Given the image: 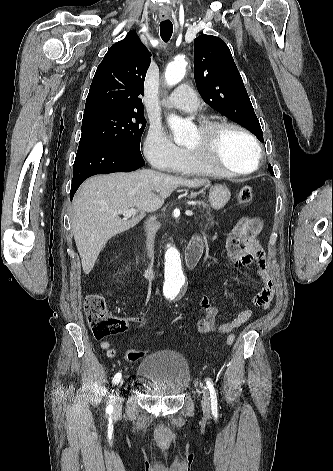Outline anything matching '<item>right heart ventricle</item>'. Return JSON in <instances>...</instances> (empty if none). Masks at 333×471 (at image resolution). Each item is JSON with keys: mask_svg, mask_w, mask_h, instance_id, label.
Segmentation results:
<instances>
[{"mask_svg": "<svg viewBox=\"0 0 333 471\" xmlns=\"http://www.w3.org/2000/svg\"><path fill=\"white\" fill-rule=\"evenodd\" d=\"M175 172L183 175H217L210 169L196 163L186 152L182 163L177 167Z\"/></svg>", "mask_w": 333, "mask_h": 471, "instance_id": "obj_1", "label": "right heart ventricle"}]
</instances>
